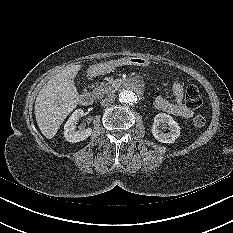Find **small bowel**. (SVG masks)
I'll return each mask as SVG.
<instances>
[{
  "label": "small bowel",
  "mask_w": 233,
  "mask_h": 233,
  "mask_svg": "<svg viewBox=\"0 0 233 233\" xmlns=\"http://www.w3.org/2000/svg\"><path fill=\"white\" fill-rule=\"evenodd\" d=\"M173 99L159 96L155 99L154 107L162 112L181 117L184 119L191 118L194 114L183 101L184 89L178 80H174L172 84Z\"/></svg>",
  "instance_id": "1"
}]
</instances>
